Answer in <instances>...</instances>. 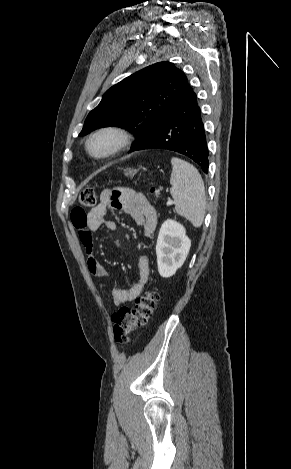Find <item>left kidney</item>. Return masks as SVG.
<instances>
[{
	"label": "left kidney",
	"mask_w": 291,
	"mask_h": 469,
	"mask_svg": "<svg viewBox=\"0 0 291 469\" xmlns=\"http://www.w3.org/2000/svg\"><path fill=\"white\" fill-rule=\"evenodd\" d=\"M191 247L186 230L175 220H166L159 231L156 255L159 274L164 278L173 276L183 265Z\"/></svg>",
	"instance_id": "1"
}]
</instances>
